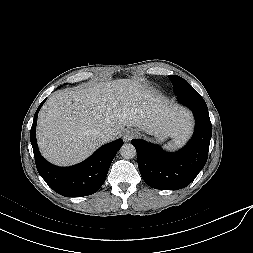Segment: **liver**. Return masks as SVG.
I'll use <instances>...</instances> for the list:
<instances>
[{
  "label": "liver",
  "mask_w": 253,
  "mask_h": 253,
  "mask_svg": "<svg viewBox=\"0 0 253 253\" xmlns=\"http://www.w3.org/2000/svg\"><path fill=\"white\" fill-rule=\"evenodd\" d=\"M190 123L189 115L137 81L118 79L87 87L59 90L42 107L37 140L42 155L61 166L88 158L103 143L98 132L109 130L112 140L124 127L152 135L177 136Z\"/></svg>",
  "instance_id": "6515ba94"
}]
</instances>
